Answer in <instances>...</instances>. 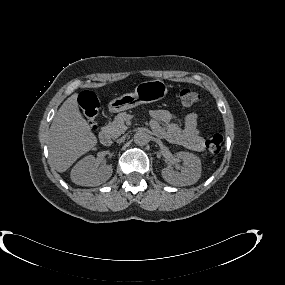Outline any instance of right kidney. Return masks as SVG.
Here are the masks:
<instances>
[{"label": "right kidney", "mask_w": 285, "mask_h": 285, "mask_svg": "<svg viewBox=\"0 0 285 285\" xmlns=\"http://www.w3.org/2000/svg\"><path fill=\"white\" fill-rule=\"evenodd\" d=\"M95 157L89 155L81 159L71 170V180L81 186H98L112 175L111 165L94 166Z\"/></svg>", "instance_id": "right-kidney-1"}]
</instances>
